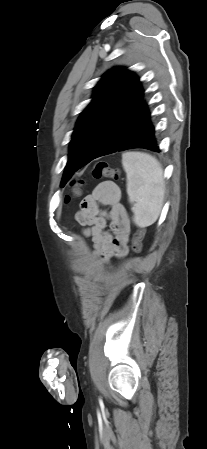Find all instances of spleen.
<instances>
[{
  "label": "spleen",
  "instance_id": "spleen-1",
  "mask_svg": "<svg viewBox=\"0 0 207 449\" xmlns=\"http://www.w3.org/2000/svg\"><path fill=\"white\" fill-rule=\"evenodd\" d=\"M126 172L127 194L133 204V221L141 228L152 225L158 219L164 200L165 184L159 161L142 152L122 155Z\"/></svg>",
  "mask_w": 207,
  "mask_h": 449
}]
</instances>
